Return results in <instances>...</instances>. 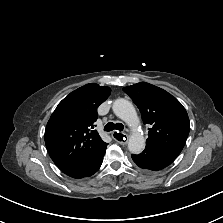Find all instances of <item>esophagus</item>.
<instances>
[{
	"label": "esophagus",
	"mask_w": 223,
	"mask_h": 223,
	"mask_svg": "<svg viewBox=\"0 0 223 223\" xmlns=\"http://www.w3.org/2000/svg\"><path fill=\"white\" fill-rule=\"evenodd\" d=\"M112 138L120 144H126L128 142V134L119 131L112 132Z\"/></svg>",
	"instance_id": "esophagus-1"
}]
</instances>
